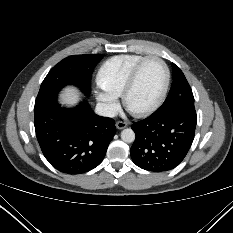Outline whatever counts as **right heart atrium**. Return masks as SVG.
Here are the masks:
<instances>
[{
  "mask_svg": "<svg viewBox=\"0 0 233 233\" xmlns=\"http://www.w3.org/2000/svg\"><path fill=\"white\" fill-rule=\"evenodd\" d=\"M95 97L101 103L106 113L111 115L117 111L119 106L117 95L105 90H98L95 92Z\"/></svg>",
  "mask_w": 233,
  "mask_h": 233,
  "instance_id": "obj_1",
  "label": "right heart atrium"
}]
</instances>
